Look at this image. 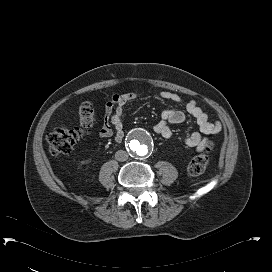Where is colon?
I'll return each instance as SVG.
<instances>
[{
	"mask_svg": "<svg viewBox=\"0 0 272 272\" xmlns=\"http://www.w3.org/2000/svg\"><path fill=\"white\" fill-rule=\"evenodd\" d=\"M79 121L72 127L61 126L51 130L47 134V141L52 155L61 156L69 154L79 139L89 133L95 123V113L90 103H83L78 110ZM210 147H207L209 150ZM209 165L206 153L194 156L188 165V171L192 175H200Z\"/></svg>",
	"mask_w": 272,
	"mask_h": 272,
	"instance_id": "colon-1",
	"label": "colon"
}]
</instances>
